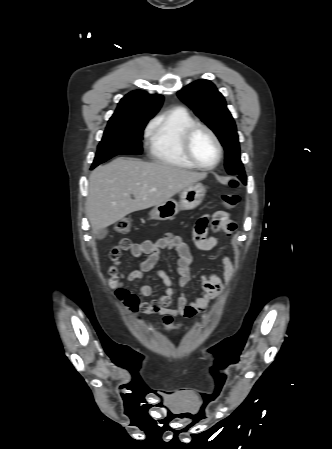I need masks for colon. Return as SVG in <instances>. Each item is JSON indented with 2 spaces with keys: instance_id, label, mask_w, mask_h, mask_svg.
<instances>
[{
  "instance_id": "5ec220e1",
  "label": "colon",
  "mask_w": 332,
  "mask_h": 449,
  "mask_svg": "<svg viewBox=\"0 0 332 449\" xmlns=\"http://www.w3.org/2000/svg\"><path fill=\"white\" fill-rule=\"evenodd\" d=\"M229 185L231 188L235 189L238 186V183L235 179H231L229 181ZM221 201L224 205V207L228 209L235 208L239 202H240V196L237 192L232 191L228 193H224L221 196ZM132 228V223L129 219H123L120 220L116 225V231L119 233H128L130 232ZM129 242L127 239L122 240L117 246H115L109 254L110 259L115 262L119 263V260L122 256V253L124 250L128 249ZM116 294L118 298L126 303L128 307L132 310L137 309V299L134 295L130 294L126 289L119 288L116 291ZM162 325L166 330H174L179 328V324L174 322L173 318L171 316L165 315L162 320Z\"/></svg>"
}]
</instances>
